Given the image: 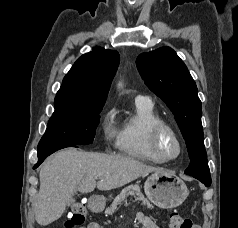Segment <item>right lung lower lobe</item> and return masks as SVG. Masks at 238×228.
Listing matches in <instances>:
<instances>
[{
    "instance_id": "obj_1",
    "label": "right lung lower lobe",
    "mask_w": 238,
    "mask_h": 228,
    "mask_svg": "<svg viewBox=\"0 0 238 228\" xmlns=\"http://www.w3.org/2000/svg\"><path fill=\"white\" fill-rule=\"evenodd\" d=\"M66 147H78V145H63V146H56V147H45V148H38V162L34 165L33 169L37 168L44 159L49 156L50 154L54 153L57 150L66 148Z\"/></svg>"
}]
</instances>
